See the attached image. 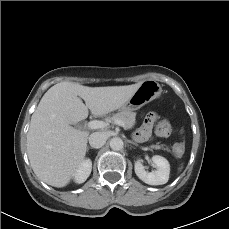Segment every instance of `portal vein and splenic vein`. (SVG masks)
<instances>
[{
    "label": "portal vein and splenic vein",
    "mask_w": 229,
    "mask_h": 229,
    "mask_svg": "<svg viewBox=\"0 0 229 229\" xmlns=\"http://www.w3.org/2000/svg\"><path fill=\"white\" fill-rule=\"evenodd\" d=\"M115 124L125 128V124L121 120L115 121ZM105 127H107V123L104 121L93 120L87 123L89 129H104Z\"/></svg>",
    "instance_id": "1"
}]
</instances>
